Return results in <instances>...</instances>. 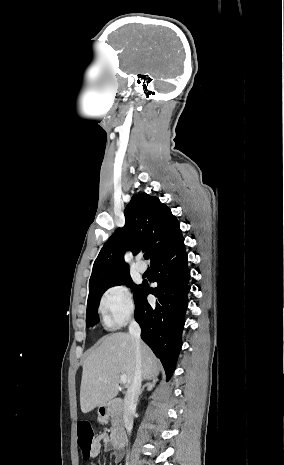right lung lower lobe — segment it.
Listing matches in <instances>:
<instances>
[{
	"label": "right lung lower lobe",
	"mask_w": 284,
	"mask_h": 465,
	"mask_svg": "<svg viewBox=\"0 0 284 465\" xmlns=\"http://www.w3.org/2000/svg\"><path fill=\"white\" fill-rule=\"evenodd\" d=\"M157 287L140 284L134 293L135 319L141 327V338L161 360L167 380L172 376L182 347V331L188 307L190 270L184 238L157 256L151 263ZM157 297L149 303L147 295Z\"/></svg>",
	"instance_id": "right-lung-lower-lobe-1"
}]
</instances>
